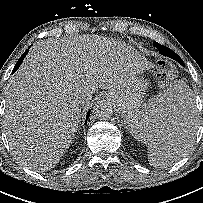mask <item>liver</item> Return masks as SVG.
Returning a JSON list of instances; mask_svg holds the SVG:
<instances>
[{
    "mask_svg": "<svg viewBox=\"0 0 203 203\" xmlns=\"http://www.w3.org/2000/svg\"><path fill=\"white\" fill-rule=\"evenodd\" d=\"M145 65L132 47L104 37L37 42L6 88L4 126L14 155L34 171L52 169L72 143L81 106L98 88L111 100ZM157 129L158 142L181 139L189 131L169 113Z\"/></svg>",
    "mask_w": 203,
    "mask_h": 203,
    "instance_id": "liver-1",
    "label": "liver"
}]
</instances>
